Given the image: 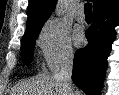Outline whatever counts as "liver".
<instances>
[{
    "label": "liver",
    "mask_w": 119,
    "mask_h": 95,
    "mask_svg": "<svg viewBox=\"0 0 119 95\" xmlns=\"http://www.w3.org/2000/svg\"><path fill=\"white\" fill-rule=\"evenodd\" d=\"M20 95H69L65 83L56 75H40L19 86ZM75 95H83L74 89Z\"/></svg>",
    "instance_id": "1"
}]
</instances>
